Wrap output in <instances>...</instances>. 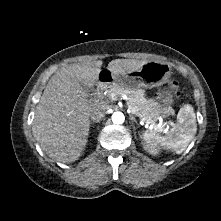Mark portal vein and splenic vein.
Listing matches in <instances>:
<instances>
[{"mask_svg": "<svg viewBox=\"0 0 221 221\" xmlns=\"http://www.w3.org/2000/svg\"><path fill=\"white\" fill-rule=\"evenodd\" d=\"M114 97V95H112V98ZM161 125V124H160ZM160 125H158V126H160ZM155 126H154V124H152V125H150V128H154Z\"/></svg>", "mask_w": 221, "mask_h": 221, "instance_id": "1", "label": "portal vein and splenic vein"}]
</instances>
